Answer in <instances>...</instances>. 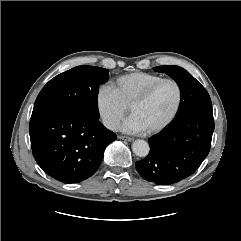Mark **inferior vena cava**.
<instances>
[{"instance_id":"obj_1","label":"inferior vena cava","mask_w":241,"mask_h":241,"mask_svg":"<svg viewBox=\"0 0 241 241\" xmlns=\"http://www.w3.org/2000/svg\"><path fill=\"white\" fill-rule=\"evenodd\" d=\"M104 125L111 130L117 131L119 128V122L114 119H104Z\"/></svg>"}]
</instances>
